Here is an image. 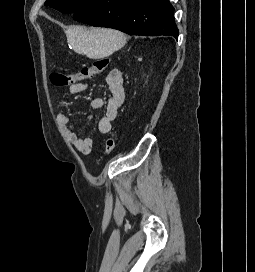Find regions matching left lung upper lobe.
<instances>
[{"instance_id":"5c2ea615","label":"left lung upper lobe","mask_w":255,"mask_h":272,"mask_svg":"<svg viewBox=\"0 0 255 272\" xmlns=\"http://www.w3.org/2000/svg\"><path fill=\"white\" fill-rule=\"evenodd\" d=\"M92 1L93 0H47L45 5L55 8L62 13H75Z\"/></svg>"}]
</instances>
